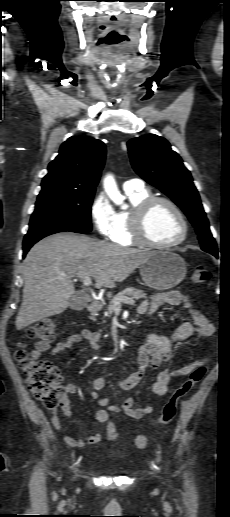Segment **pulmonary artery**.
Here are the masks:
<instances>
[{"label":"pulmonary artery","mask_w":230,"mask_h":517,"mask_svg":"<svg viewBox=\"0 0 230 517\" xmlns=\"http://www.w3.org/2000/svg\"><path fill=\"white\" fill-rule=\"evenodd\" d=\"M144 188V182L141 179H130L123 183L125 191L141 190Z\"/></svg>","instance_id":"obj_1"}]
</instances>
